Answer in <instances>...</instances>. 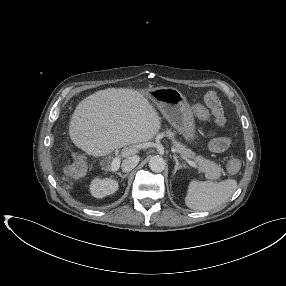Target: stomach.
I'll return each instance as SVG.
<instances>
[{
  "instance_id": "0dacf381",
  "label": "stomach",
  "mask_w": 286,
  "mask_h": 286,
  "mask_svg": "<svg viewBox=\"0 0 286 286\" xmlns=\"http://www.w3.org/2000/svg\"><path fill=\"white\" fill-rule=\"evenodd\" d=\"M142 93L157 106L168 122L188 142L196 139L193 112L179 90L173 87H156Z\"/></svg>"
}]
</instances>
